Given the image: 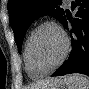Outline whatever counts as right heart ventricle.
Listing matches in <instances>:
<instances>
[{
  "instance_id": "e07e8e85",
  "label": "right heart ventricle",
  "mask_w": 89,
  "mask_h": 89,
  "mask_svg": "<svg viewBox=\"0 0 89 89\" xmlns=\"http://www.w3.org/2000/svg\"><path fill=\"white\" fill-rule=\"evenodd\" d=\"M31 32L27 35L26 41H25V46H24V63H25V70L27 72V74L31 77V78H40L44 75H41L39 72H37L36 70H34L30 64L29 58H28V42H29V38H30Z\"/></svg>"
}]
</instances>
